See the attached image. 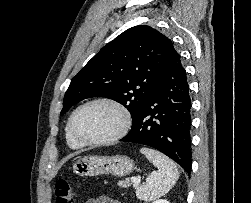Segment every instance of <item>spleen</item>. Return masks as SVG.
<instances>
[{
	"instance_id": "spleen-1",
	"label": "spleen",
	"mask_w": 251,
	"mask_h": 203,
	"mask_svg": "<svg viewBox=\"0 0 251 203\" xmlns=\"http://www.w3.org/2000/svg\"><path fill=\"white\" fill-rule=\"evenodd\" d=\"M140 152L158 169L153 171L146 178V183L136 190L138 199L149 202L168 193L177 182L179 172L176 164L164 154L148 147L141 148Z\"/></svg>"
}]
</instances>
